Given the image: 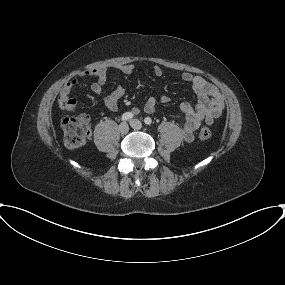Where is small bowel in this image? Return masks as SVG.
<instances>
[{
    "mask_svg": "<svg viewBox=\"0 0 285 285\" xmlns=\"http://www.w3.org/2000/svg\"><path fill=\"white\" fill-rule=\"evenodd\" d=\"M122 74L129 75L134 71V65L123 64L117 67ZM152 72L155 76L163 75V70L159 66H154ZM95 78L96 82L91 85V91L96 95H101L103 86L107 81V71L105 69H88L82 72L77 78L67 81L61 88L58 95V105L60 108L69 112L77 109V101L70 97L71 91L77 85L79 79ZM182 79L191 84L193 91L197 95L198 101L195 106L188 102H183L179 106V113L182 120L183 137L186 142H192L195 137V131L203 122L212 124L224 110V101L218 89L203 77L189 72L182 74ZM125 94V90L118 85L113 91L103 98V104L111 111L118 109V101ZM161 103H168L169 98L165 95L160 97ZM157 100L154 97L149 98L144 111L153 113L156 109ZM134 113H139L138 108L133 109Z\"/></svg>",
    "mask_w": 285,
    "mask_h": 285,
    "instance_id": "1",
    "label": "small bowel"
}]
</instances>
